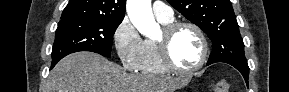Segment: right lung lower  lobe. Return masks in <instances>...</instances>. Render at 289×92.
Here are the masks:
<instances>
[{
  "label": "right lung lower lobe",
  "instance_id": "1",
  "mask_svg": "<svg viewBox=\"0 0 289 92\" xmlns=\"http://www.w3.org/2000/svg\"><path fill=\"white\" fill-rule=\"evenodd\" d=\"M55 65H56V64H52V65H51V69H52Z\"/></svg>",
  "mask_w": 289,
  "mask_h": 92
}]
</instances>
